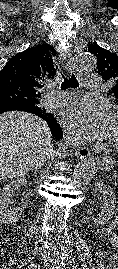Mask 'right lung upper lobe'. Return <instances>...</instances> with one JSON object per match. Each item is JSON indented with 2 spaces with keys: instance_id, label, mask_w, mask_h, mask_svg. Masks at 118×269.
<instances>
[{
  "instance_id": "cb5924a9",
  "label": "right lung upper lobe",
  "mask_w": 118,
  "mask_h": 269,
  "mask_svg": "<svg viewBox=\"0 0 118 269\" xmlns=\"http://www.w3.org/2000/svg\"><path fill=\"white\" fill-rule=\"evenodd\" d=\"M55 55L56 51L48 44L28 48L13 56L0 71V104L18 102V98L29 100L33 114L48 122L53 135L59 125L53 114L41 108L39 103L42 88L56 74Z\"/></svg>"
}]
</instances>
